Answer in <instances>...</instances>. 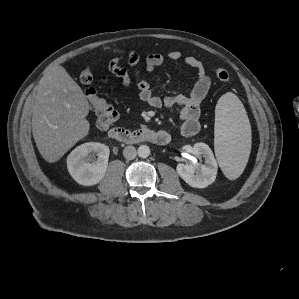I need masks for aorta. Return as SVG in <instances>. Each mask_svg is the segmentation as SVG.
<instances>
[{"label":"aorta","mask_w":299,"mask_h":299,"mask_svg":"<svg viewBox=\"0 0 299 299\" xmlns=\"http://www.w3.org/2000/svg\"><path fill=\"white\" fill-rule=\"evenodd\" d=\"M137 154L141 158H147L150 155V148L147 145L139 146Z\"/></svg>","instance_id":"obj_1"}]
</instances>
